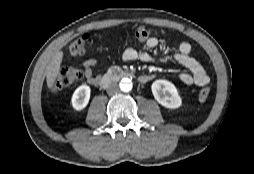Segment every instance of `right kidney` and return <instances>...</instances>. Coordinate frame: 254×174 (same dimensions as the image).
Returning <instances> with one entry per match:
<instances>
[{
    "mask_svg": "<svg viewBox=\"0 0 254 174\" xmlns=\"http://www.w3.org/2000/svg\"><path fill=\"white\" fill-rule=\"evenodd\" d=\"M91 89L88 85L79 86L72 96V106L75 110L84 109L90 99Z\"/></svg>",
    "mask_w": 254,
    "mask_h": 174,
    "instance_id": "1",
    "label": "right kidney"
}]
</instances>
